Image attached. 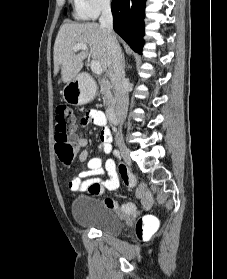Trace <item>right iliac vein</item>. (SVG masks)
Instances as JSON below:
<instances>
[{
	"label": "right iliac vein",
	"mask_w": 227,
	"mask_h": 279,
	"mask_svg": "<svg viewBox=\"0 0 227 279\" xmlns=\"http://www.w3.org/2000/svg\"><path fill=\"white\" fill-rule=\"evenodd\" d=\"M117 145L119 147V150H120L121 155L124 158L125 162L127 164H131L130 151H129L128 147L121 140L117 142Z\"/></svg>",
	"instance_id": "right-iliac-vein-1"
}]
</instances>
